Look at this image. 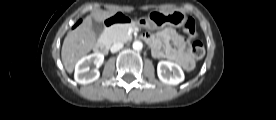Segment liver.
I'll return each instance as SVG.
<instances>
[{
    "label": "liver",
    "mask_w": 276,
    "mask_h": 120,
    "mask_svg": "<svg viewBox=\"0 0 276 120\" xmlns=\"http://www.w3.org/2000/svg\"><path fill=\"white\" fill-rule=\"evenodd\" d=\"M114 14V12L101 10L93 12L83 19L78 27L68 32L61 50L62 62L68 73L73 72L78 60L89 53L95 44L96 36L92 30V19L103 22Z\"/></svg>",
    "instance_id": "obj_1"
}]
</instances>
